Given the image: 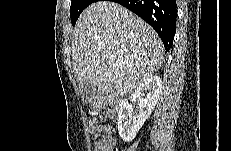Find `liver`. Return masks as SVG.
<instances>
[{
	"label": "liver",
	"mask_w": 231,
	"mask_h": 151,
	"mask_svg": "<svg viewBox=\"0 0 231 151\" xmlns=\"http://www.w3.org/2000/svg\"><path fill=\"white\" fill-rule=\"evenodd\" d=\"M157 33L127 8L97 1L80 15L73 34L72 64L80 86L126 94L153 76L163 62Z\"/></svg>",
	"instance_id": "6515ba94"
}]
</instances>
